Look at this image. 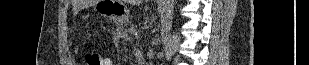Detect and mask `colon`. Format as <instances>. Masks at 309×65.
<instances>
[{"mask_svg":"<svg viewBox=\"0 0 309 65\" xmlns=\"http://www.w3.org/2000/svg\"><path fill=\"white\" fill-rule=\"evenodd\" d=\"M85 62L87 65H103L104 58L96 49L90 48L85 52Z\"/></svg>","mask_w":309,"mask_h":65,"instance_id":"obj_1","label":"colon"}]
</instances>
